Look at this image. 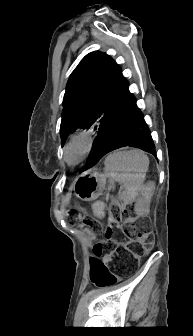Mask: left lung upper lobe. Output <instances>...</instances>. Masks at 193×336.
Returning <instances> with one entry per match:
<instances>
[{"label": "left lung upper lobe", "mask_w": 193, "mask_h": 336, "mask_svg": "<svg viewBox=\"0 0 193 336\" xmlns=\"http://www.w3.org/2000/svg\"><path fill=\"white\" fill-rule=\"evenodd\" d=\"M125 82L119 65L110 56L98 51L86 55L67 83L60 127L62 144L76 129H98Z\"/></svg>", "instance_id": "left-lung-upper-lobe-1"}]
</instances>
